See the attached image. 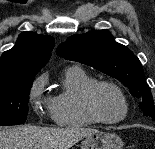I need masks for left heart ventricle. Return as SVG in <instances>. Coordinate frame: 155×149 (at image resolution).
<instances>
[{
    "label": "left heart ventricle",
    "mask_w": 155,
    "mask_h": 149,
    "mask_svg": "<svg viewBox=\"0 0 155 149\" xmlns=\"http://www.w3.org/2000/svg\"><path fill=\"white\" fill-rule=\"evenodd\" d=\"M94 102L97 111L105 119H116L124 111V105L119 93L110 86H101L95 93Z\"/></svg>",
    "instance_id": "obj_1"
}]
</instances>
